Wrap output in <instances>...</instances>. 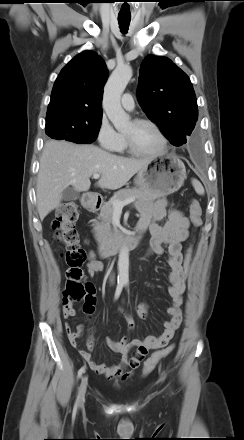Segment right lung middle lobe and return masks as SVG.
I'll list each match as a JSON object with an SVG mask.
<instances>
[{
  "instance_id": "dd1d6c3e",
  "label": "right lung middle lobe",
  "mask_w": 244,
  "mask_h": 440,
  "mask_svg": "<svg viewBox=\"0 0 244 440\" xmlns=\"http://www.w3.org/2000/svg\"><path fill=\"white\" fill-rule=\"evenodd\" d=\"M100 125L101 121L86 124L51 120L46 121V134L53 139L86 144L96 140Z\"/></svg>"
}]
</instances>
